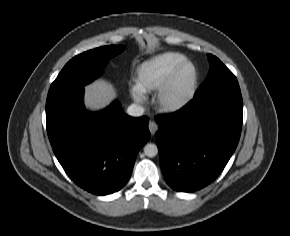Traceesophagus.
<instances>
[{
    "instance_id": "34e87169",
    "label": "esophagus",
    "mask_w": 290,
    "mask_h": 236,
    "mask_svg": "<svg viewBox=\"0 0 290 236\" xmlns=\"http://www.w3.org/2000/svg\"><path fill=\"white\" fill-rule=\"evenodd\" d=\"M148 127H149V131L152 135H154L158 129V125L154 121H150Z\"/></svg>"
}]
</instances>
